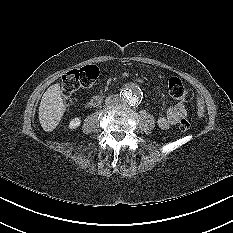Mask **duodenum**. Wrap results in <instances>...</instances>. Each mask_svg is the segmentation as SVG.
<instances>
[{
    "label": "duodenum",
    "instance_id": "410a0bca",
    "mask_svg": "<svg viewBox=\"0 0 233 233\" xmlns=\"http://www.w3.org/2000/svg\"><path fill=\"white\" fill-rule=\"evenodd\" d=\"M101 100H102V97L97 95V96H94L88 104L90 106H96L101 102Z\"/></svg>",
    "mask_w": 233,
    "mask_h": 233
}]
</instances>
